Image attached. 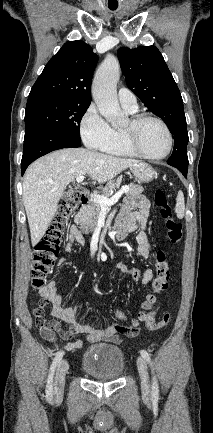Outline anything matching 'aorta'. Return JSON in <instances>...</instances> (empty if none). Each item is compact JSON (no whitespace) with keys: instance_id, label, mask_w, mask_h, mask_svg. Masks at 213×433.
Instances as JSON below:
<instances>
[{"instance_id":"aorta-1","label":"aorta","mask_w":213,"mask_h":433,"mask_svg":"<svg viewBox=\"0 0 213 433\" xmlns=\"http://www.w3.org/2000/svg\"><path fill=\"white\" fill-rule=\"evenodd\" d=\"M119 77V62L114 56L108 55L98 68L92 86V95L99 112L115 127L124 119L116 92Z\"/></svg>"}]
</instances>
